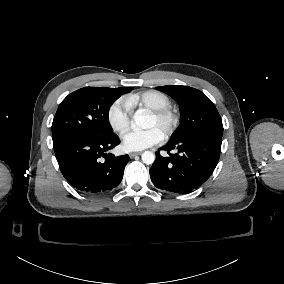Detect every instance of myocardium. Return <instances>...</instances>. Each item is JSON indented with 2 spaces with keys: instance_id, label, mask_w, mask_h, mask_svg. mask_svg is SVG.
Segmentation results:
<instances>
[{
  "instance_id": "1",
  "label": "myocardium",
  "mask_w": 284,
  "mask_h": 284,
  "mask_svg": "<svg viewBox=\"0 0 284 284\" xmlns=\"http://www.w3.org/2000/svg\"><path fill=\"white\" fill-rule=\"evenodd\" d=\"M152 115L156 120L164 124L163 138H169L173 134L178 122L175 112L171 108H162L152 110Z\"/></svg>"
}]
</instances>
